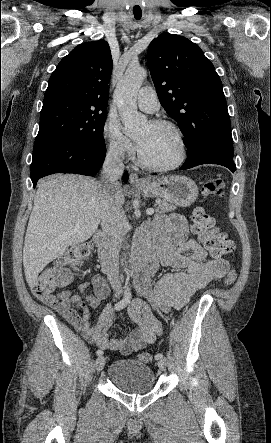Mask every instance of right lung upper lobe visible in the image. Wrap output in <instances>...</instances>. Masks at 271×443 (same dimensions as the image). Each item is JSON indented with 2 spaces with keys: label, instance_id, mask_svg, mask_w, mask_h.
<instances>
[{
  "label": "right lung upper lobe",
  "instance_id": "1",
  "mask_svg": "<svg viewBox=\"0 0 271 443\" xmlns=\"http://www.w3.org/2000/svg\"><path fill=\"white\" fill-rule=\"evenodd\" d=\"M112 57L104 40L76 46L51 74L43 103L73 100L107 107Z\"/></svg>",
  "mask_w": 271,
  "mask_h": 443
}]
</instances>
